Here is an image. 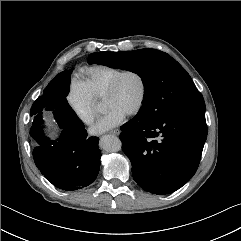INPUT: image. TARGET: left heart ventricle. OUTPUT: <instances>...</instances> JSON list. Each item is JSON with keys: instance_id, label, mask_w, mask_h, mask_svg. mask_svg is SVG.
<instances>
[{"instance_id": "left-heart-ventricle-1", "label": "left heart ventricle", "mask_w": 241, "mask_h": 241, "mask_svg": "<svg viewBox=\"0 0 241 241\" xmlns=\"http://www.w3.org/2000/svg\"><path fill=\"white\" fill-rule=\"evenodd\" d=\"M140 93L141 84L139 79L134 74H128L121 79L112 95L103 98L104 109L108 110L115 107L127 114L137 104Z\"/></svg>"}]
</instances>
